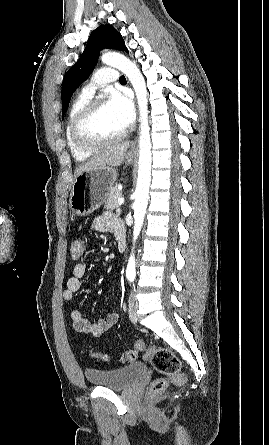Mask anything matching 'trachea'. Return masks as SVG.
<instances>
[{"label": "trachea", "instance_id": "obj_1", "mask_svg": "<svg viewBox=\"0 0 269 445\" xmlns=\"http://www.w3.org/2000/svg\"><path fill=\"white\" fill-rule=\"evenodd\" d=\"M119 81H120V82H124V81H126L125 76H121L120 79H119Z\"/></svg>", "mask_w": 269, "mask_h": 445}]
</instances>
